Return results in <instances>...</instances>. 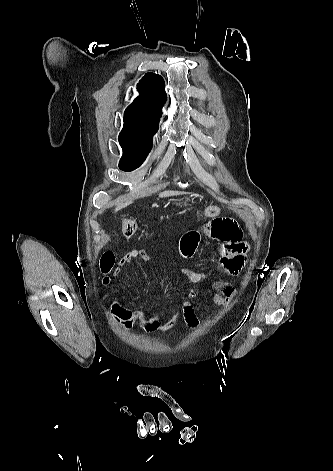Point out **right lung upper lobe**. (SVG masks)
<instances>
[{
    "label": "right lung upper lobe",
    "instance_id": "1",
    "mask_svg": "<svg viewBox=\"0 0 333 471\" xmlns=\"http://www.w3.org/2000/svg\"><path fill=\"white\" fill-rule=\"evenodd\" d=\"M164 81L161 76L147 73L138 84L142 93L124 113V128L157 131L159 115L166 101Z\"/></svg>",
    "mask_w": 333,
    "mask_h": 471
}]
</instances>
